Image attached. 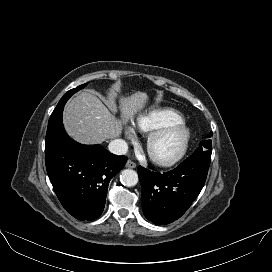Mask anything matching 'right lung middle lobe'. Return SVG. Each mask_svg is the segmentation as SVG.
Segmentation results:
<instances>
[{
  "instance_id": "1",
  "label": "right lung middle lobe",
  "mask_w": 272,
  "mask_h": 272,
  "mask_svg": "<svg viewBox=\"0 0 272 272\" xmlns=\"http://www.w3.org/2000/svg\"><path fill=\"white\" fill-rule=\"evenodd\" d=\"M86 84L80 85L77 88L69 90L59 101L57 104L56 108L54 109L48 123V128H47V133L46 137L51 135L52 133L55 132L58 128L62 126V112H63V107L66 103V101L78 90L84 88Z\"/></svg>"
}]
</instances>
